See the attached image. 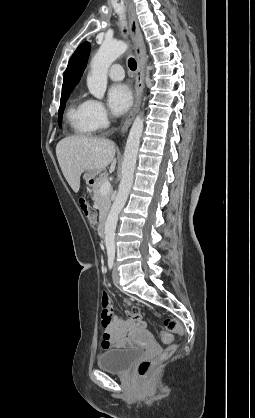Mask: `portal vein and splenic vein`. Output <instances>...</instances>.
<instances>
[{
    "label": "portal vein and splenic vein",
    "instance_id": "1",
    "mask_svg": "<svg viewBox=\"0 0 255 418\" xmlns=\"http://www.w3.org/2000/svg\"><path fill=\"white\" fill-rule=\"evenodd\" d=\"M110 190H111V184L108 181L103 183L102 186H101V189H100L101 194H103V195L109 193Z\"/></svg>",
    "mask_w": 255,
    "mask_h": 418
}]
</instances>
